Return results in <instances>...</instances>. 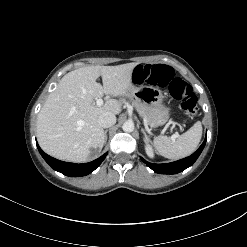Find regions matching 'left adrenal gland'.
<instances>
[{"label":"left adrenal gland","mask_w":247,"mask_h":247,"mask_svg":"<svg viewBox=\"0 0 247 247\" xmlns=\"http://www.w3.org/2000/svg\"><path fill=\"white\" fill-rule=\"evenodd\" d=\"M141 132H142V133H143V135H144V139H145V141H149V136L146 134V132H145L144 128H141Z\"/></svg>","instance_id":"left-adrenal-gland-1"}]
</instances>
